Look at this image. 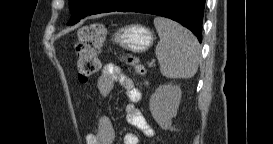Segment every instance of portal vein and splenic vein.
Instances as JSON below:
<instances>
[{"label":"portal vein and splenic vein","instance_id":"obj_1","mask_svg":"<svg viewBox=\"0 0 273 144\" xmlns=\"http://www.w3.org/2000/svg\"><path fill=\"white\" fill-rule=\"evenodd\" d=\"M153 65V63H150L149 66L151 67Z\"/></svg>","mask_w":273,"mask_h":144}]
</instances>
